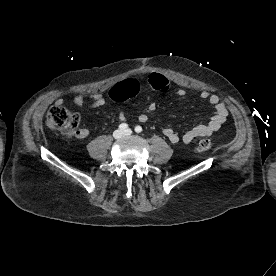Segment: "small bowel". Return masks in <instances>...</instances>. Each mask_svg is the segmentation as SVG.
<instances>
[{
	"instance_id": "c3829d8e",
	"label": "small bowel",
	"mask_w": 276,
	"mask_h": 276,
	"mask_svg": "<svg viewBox=\"0 0 276 276\" xmlns=\"http://www.w3.org/2000/svg\"><path fill=\"white\" fill-rule=\"evenodd\" d=\"M148 84L149 86L157 91H166L168 89L167 81L164 77L159 76L157 74H150L148 76ZM122 89L124 93L123 97L129 98L136 96L141 89V85L136 79H128L123 82L121 85H118ZM179 96H184L186 94V90L184 88H180L177 91ZM200 98L202 100L207 101L210 105L213 106L215 114L213 117L206 123H201L186 131L182 135L178 134L174 129L170 127H165L162 129L163 135L173 144L178 142H183L185 144H190L195 139L205 136H210L213 133L217 132L222 124L225 122L228 116V110L224 102L221 99L208 91H201ZM90 99L92 108H99L106 105L107 101L105 97L98 91H88L84 93L78 94L73 102L77 106H82L85 102ZM58 104L63 103V99L57 100ZM156 104L151 102L146 110L141 112L138 115V120L140 122H146L148 120V116L150 113L155 111ZM118 117L121 121L125 120V114L123 111H119ZM89 136V131L87 129H79L76 131V137L78 139H85Z\"/></svg>"
}]
</instances>
